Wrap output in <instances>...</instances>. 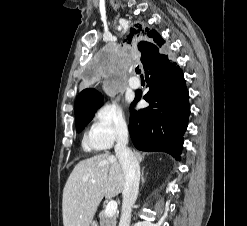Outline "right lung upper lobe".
<instances>
[{"label": "right lung upper lobe", "mask_w": 247, "mask_h": 226, "mask_svg": "<svg viewBox=\"0 0 247 226\" xmlns=\"http://www.w3.org/2000/svg\"><path fill=\"white\" fill-rule=\"evenodd\" d=\"M124 42L129 44L133 42L138 45L142 53L141 61L144 64L147 52L157 47H164L165 40H163L156 30L149 29L145 25L137 23L130 28ZM98 96H101L100 93L92 88L81 91L75 102V118L83 114L87 104Z\"/></svg>", "instance_id": "right-lung-upper-lobe-1"}]
</instances>
